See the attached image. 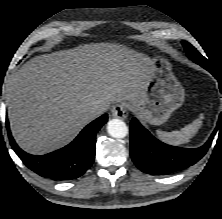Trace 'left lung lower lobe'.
Here are the masks:
<instances>
[{
  "label": "left lung lower lobe",
  "mask_w": 222,
  "mask_h": 219,
  "mask_svg": "<svg viewBox=\"0 0 222 219\" xmlns=\"http://www.w3.org/2000/svg\"><path fill=\"white\" fill-rule=\"evenodd\" d=\"M193 61L214 75L209 62ZM219 126L222 127V117H219L214 132L203 146L187 149L160 142L136 118H133L130 122L131 158L141 171L151 175H166L183 170L195 164L205 155Z\"/></svg>",
  "instance_id": "obj_1"
}]
</instances>
